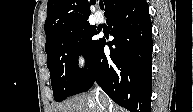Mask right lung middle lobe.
Masks as SVG:
<instances>
[{
  "label": "right lung middle lobe",
  "mask_w": 193,
  "mask_h": 112,
  "mask_svg": "<svg viewBox=\"0 0 193 112\" xmlns=\"http://www.w3.org/2000/svg\"><path fill=\"white\" fill-rule=\"evenodd\" d=\"M96 27L90 24L71 27L55 35L45 44L55 101L71 95L85 69L77 66L78 55L83 54L86 67L94 58L102 39L95 40Z\"/></svg>",
  "instance_id": "right-lung-middle-lobe-1"
}]
</instances>
